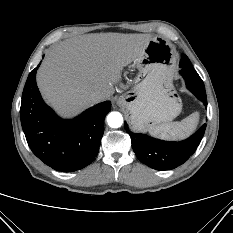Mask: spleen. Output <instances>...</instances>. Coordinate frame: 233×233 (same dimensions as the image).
Instances as JSON below:
<instances>
[{"mask_svg":"<svg viewBox=\"0 0 233 233\" xmlns=\"http://www.w3.org/2000/svg\"><path fill=\"white\" fill-rule=\"evenodd\" d=\"M198 122L199 113L194 112L181 121L151 126L148 131L161 139L180 140L188 137L196 129Z\"/></svg>","mask_w":233,"mask_h":233,"instance_id":"1","label":"spleen"}]
</instances>
